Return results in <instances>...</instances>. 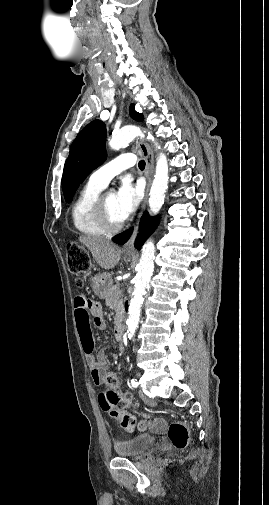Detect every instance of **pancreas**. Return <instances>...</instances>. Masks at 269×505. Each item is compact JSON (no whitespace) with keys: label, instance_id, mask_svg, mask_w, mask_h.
I'll return each instance as SVG.
<instances>
[{"label":"pancreas","instance_id":"cf45deb5","mask_svg":"<svg viewBox=\"0 0 269 505\" xmlns=\"http://www.w3.org/2000/svg\"><path fill=\"white\" fill-rule=\"evenodd\" d=\"M106 303L111 309L116 312V320L117 317L122 313L123 305H122V293L117 285L112 286L107 294H106Z\"/></svg>","mask_w":269,"mask_h":505}]
</instances>
